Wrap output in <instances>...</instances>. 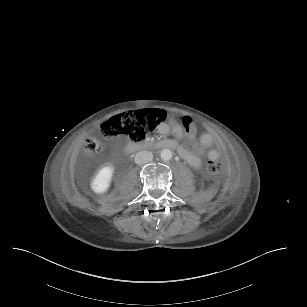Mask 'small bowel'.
<instances>
[{"label":"small bowel","instance_id":"c3829d8e","mask_svg":"<svg viewBox=\"0 0 307 307\" xmlns=\"http://www.w3.org/2000/svg\"><path fill=\"white\" fill-rule=\"evenodd\" d=\"M159 130L164 134L169 133L170 131L173 133L175 138L170 141L174 143V149H177L179 155L193 167L197 168L201 165L200 154H202L205 150H208V157L210 159L219 158L220 156L219 151L212 148V145L214 144V138L209 133H203L199 141L191 140L192 148L190 149L187 147L179 146V140L184 136L180 125L174 124L169 126L164 124L160 127Z\"/></svg>","mask_w":307,"mask_h":307}]
</instances>
